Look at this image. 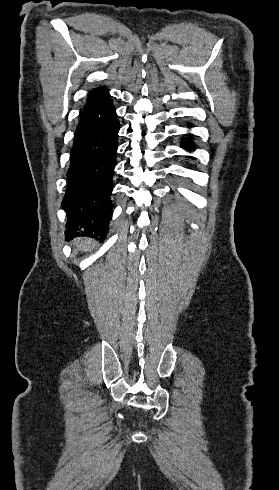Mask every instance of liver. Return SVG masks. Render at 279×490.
I'll list each match as a JSON object with an SVG mask.
<instances>
[{
	"label": "liver",
	"instance_id": "6515ba94",
	"mask_svg": "<svg viewBox=\"0 0 279 490\" xmlns=\"http://www.w3.org/2000/svg\"><path fill=\"white\" fill-rule=\"evenodd\" d=\"M73 242L76 246H79L80 250H83V252H86L88 248H92L93 246V242L90 238H77V240H73Z\"/></svg>",
	"mask_w": 279,
	"mask_h": 490
}]
</instances>
